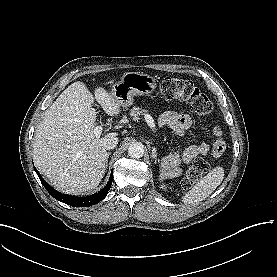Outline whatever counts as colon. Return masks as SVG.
Returning <instances> with one entry per match:
<instances>
[{"label": "colon", "instance_id": "obj_1", "mask_svg": "<svg viewBox=\"0 0 277 277\" xmlns=\"http://www.w3.org/2000/svg\"><path fill=\"white\" fill-rule=\"evenodd\" d=\"M160 93L167 99L180 98L185 100L192 110L200 116L209 117L214 113V106L210 99L187 79L179 77H166L159 86ZM210 169L208 162L196 160L187 171L182 180L184 190L190 189Z\"/></svg>", "mask_w": 277, "mask_h": 277}]
</instances>
